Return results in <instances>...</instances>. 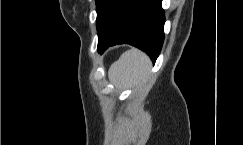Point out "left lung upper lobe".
Segmentation results:
<instances>
[{"label":"left lung upper lobe","instance_id":"5c2ea615","mask_svg":"<svg viewBox=\"0 0 243 145\" xmlns=\"http://www.w3.org/2000/svg\"><path fill=\"white\" fill-rule=\"evenodd\" d=\"M129 0H96L97 31L105 34Z\"/></svg>","mask_w":243,"mask_h":145}]
</instances>
